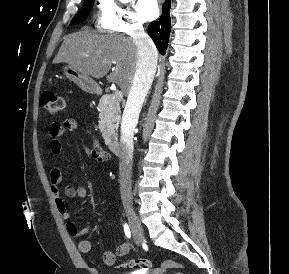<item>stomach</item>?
Segmentation results:
<instances>
[{
    "instance_id": "stomach-1",
    "label": "stomach",
    "mask_w": 289,
    "mask_h": 274,
    "mask_svg": "<svg viewBox=\"0 0 289 274\" xmlns=\"http://www.w3.org/2000/svg\"><path fill=\"white\" fill-rule=\"evenodd\" d=\"M63 74L70 81L74 82L83 91L88 93H97L99 87L97 83L88 75L80 72L71 65H65L62 68Z\"/></svg>"
}]
</instances>
